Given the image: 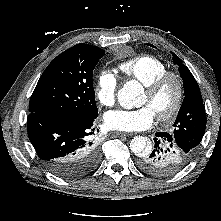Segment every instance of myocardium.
<instances>
[{
    "label": "myocardium",
    "mask_w": 221,
    "mask_h": 221,
    "mask_svg": "<svg viewBox=\"0 0 221 221\" xmlns=\"http://www.w3.org/2000/svg\"><path fill=\"white\" fill-rule=\"evenodd\" d=\"M173 83L176 89L172 105L166 111L157 114L159 121H168L174 118L181 109L185 96V86L182 77L173 71H167L161 76L145 85V91L150 96H156L167 84Z\"/></svg>",
    "instance_id": "myocardium-1"
}]
</instances>
